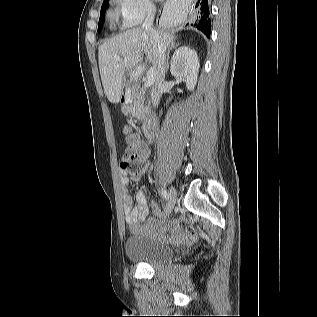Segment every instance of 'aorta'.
Masks as SVG:
<instances>
[{
	"label": "aorta",
	"instance_id": "762f6f07",
	"mask_svg": "<svg viewBox=\"0 0 317 317\" xmlns=\"http://www.w3.org/2000/svg\"><path fill=\"white\" fill-rule=\"evenodd\" d=\"M179 22V18H178V16H171L170 18H169V20H168V24L169 25H175V24H177Z\"/></svg>",
	"mask_w": 317,
	"mask_h": 317
}]
</instances>
